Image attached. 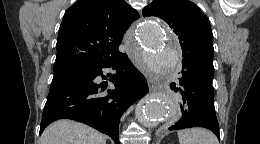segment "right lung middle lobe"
Listing matches in <instances>:
<instances>
[{"label":"right lung middle lobe","instance_id":"obj_1","mask_svg":"<svg viewBox=\"0 0 260 144\" xmlns=\"http://www.w3.org/2000/svg\"><path fill=\"white\" fill-rule=\"evenodd\" d=\"M62 72V71H61ZM61 72H54V75L58 74V73H61Z\"/></svg>","mask_w":260,"mask_h":144}]
</instances>
